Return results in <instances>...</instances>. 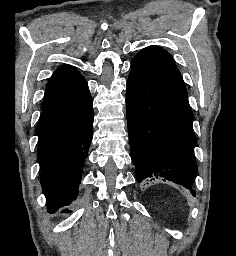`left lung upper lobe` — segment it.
<instances>
[{"instance_id": "1", "label": "left lung upper lobe", "mask_w": 236, "mask_h": 256, "mask_svg": "<svg viewBox=\"0 0 236 256\" xmlns=\"http://www.w3.org/2000/svg\"><path fill=\"white\" fill-rule=\"evenodd\" d=\"M131 67L132 70L187 96L182 76L174 59L162 48L153 46L144 48L134 57Z\"/></svg>"}]
</instances>
